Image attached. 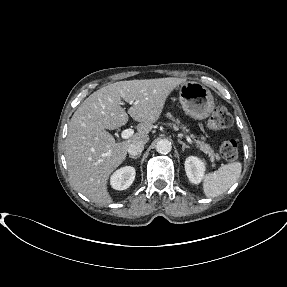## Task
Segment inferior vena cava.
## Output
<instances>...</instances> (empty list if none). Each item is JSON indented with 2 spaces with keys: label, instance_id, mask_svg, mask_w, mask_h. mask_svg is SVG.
Segmentation results:
<instances>
[{
  "label": "inferior vena cava",
  "instance_id": "obj_1",
  "mask_svg": "<svg viewBox=\"0 0 287 287\" xmlns=\"http://www.w3.org/2000/svg\"><path fill=\"white\" fill-rule=\"evenodd\" d=\"M143 150H144V143L141 141H134L127 148V152L129 153V155L132 156L141 154Z\"/></svg>",
  "mask_w": 287,
  "mask_h": 287
}]
</instances>
